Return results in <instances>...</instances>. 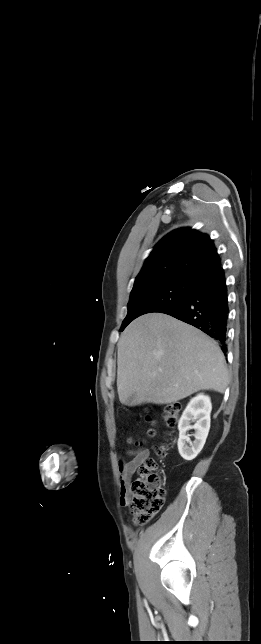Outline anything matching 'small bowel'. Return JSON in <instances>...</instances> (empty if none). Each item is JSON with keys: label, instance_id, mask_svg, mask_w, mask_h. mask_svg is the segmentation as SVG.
Returning <instances> with one entry per match:
<instances>
[{"label": "small bowel", "instance_id": "small-bowel-1", "mask_svg": "<svg viewBox=\"0 0 261 644\" xmlns=\"http://www.w3.org/2000/svg\"><path fill=\"white\" fill-rule=\"evenodd\" d=\"M130 455L132 456V459L130 461L121 462L119 464L121 487L120 504L122 506H127L129 504L128 488L130 480L132 476L137 472L138 468L144 462V460L149 457V451L147 449L131 451ZM127 531L130 536H133V530L130 526H127Z\"/></svg>", "mask_w": 261, "mask_h": 644}]
</instances>
